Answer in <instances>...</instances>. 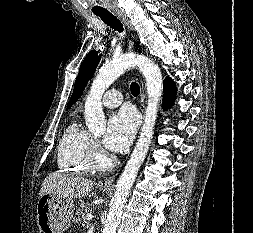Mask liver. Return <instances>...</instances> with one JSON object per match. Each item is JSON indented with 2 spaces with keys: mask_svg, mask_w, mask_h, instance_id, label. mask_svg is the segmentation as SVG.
<instances>
[{
  "mask_svg": "<svg viewBox=\"0 0 253 233\" xmlns=\"http://www.w3.org/2000/svg\"><path fill=\"white\" fill-rule=\"evenodd\" d=\"M94 188L91 180L74 177L60 172L50 173L43 181L39 196L52 193L70 199L82 198Z\"/></svg>",
  "mask_w": 253,
  "mask_h": 233,
  "instance_id": "6515ba94",
  "label": "liver"
}]
</instances>
